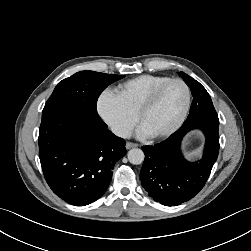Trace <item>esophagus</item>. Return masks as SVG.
Wrapping results in <instances>:
<instances>
[{"instance_id": "1", "label": "esophagus", "mask_w": 251, "mask_h": 251, "mask_svg": "<svg viewBox=\"0 0 251 251\" xmlns=\"http://www.w3.org/2000/svg\"><path fill=\"white\" fill-rule=\"evenodd\" d=\"M135 147H138V144L132 143V142L126 143V149H131V148H135Z\"/></svg>"}]
</instances>
